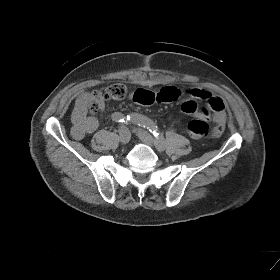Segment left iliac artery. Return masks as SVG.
I'll return each instance as SVG.
<instances>
[{
    "label": "left iliac artery",
    "mask_w": 280,
    "mask_h": 280,
    "mask_svg": "<svg viewBox=\"0 0 280 280\" xmlns=\"http://www.w3.org/2000/svg\"><path fill=\"white\" fill-rule=\"evenodd\" d=\"M128 120L138 124L139 126L147 128L154 135L156 145L158 147H165V140L163 136L158 132L157 126L151 119L140 114L132 113L128 115Z\"/></svg>",
    "instance_id": "44dca946"
}]
</instances>
